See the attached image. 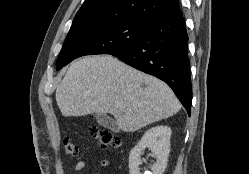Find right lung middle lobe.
I'll return each mask as SVG.
<instances>
[{"label":"right lung middle lobe","mask_w":249,"mask_h":174,"mask_svg":"<svg viewBox=\"0 0 249 174\" xmlns=\"http://www.w3.org/2000/svg\"><path fill=\"white\" fill-rule=\"evenodd\" d=\"M145 25V21L127 19L69 32L59 53L56 70L81 56L127 49L142 36Z\"/></svg>","instance_id":"obj_1"}]
</instances>
